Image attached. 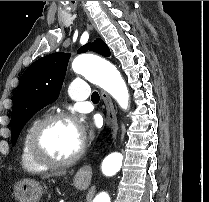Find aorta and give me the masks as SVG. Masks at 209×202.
Here are the masks:
<instances>
[{"label": "aorta", "mask_w": 209, "mask_h": 202, "mask_svg": "<svg viewBox=\"0 0 209 202\" xmlns=\"http://www.w3.org/2000/svg\"><path fill=\"white\" fill-rule=\"evenodd\" d=\"M75 73L107 91L122 109L129 105V92L124 79L116 67L108 61L92 55H79L72 62ZM123 156L118 152L107 155L102 162V172L106 176L115 175L122 166ZM110 196L101 192L93 202H110Z\"/></svg>", "instance_id": "1"}]
</instances>
